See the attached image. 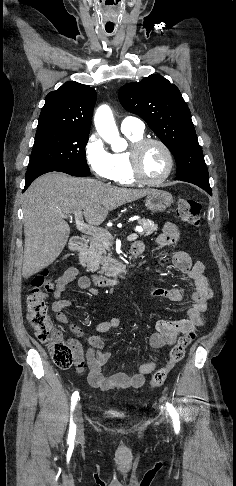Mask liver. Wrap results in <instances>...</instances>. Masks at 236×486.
Wrapping results in <instances>:
<instances>
[{
	"mask_svg": "<svg viewBox=\"0 0 236 486\" xmlns=\"http://www.w3.org/2000/svg\"><path fill=\"white\" fill-rule=\"evenodd\" d=\"M153 189L111 186L91 178L52 172L36 179L23 197L24 257L22 276L27 279L52 264L70 234L62 214L83 211L88 224L98 226L108 211L136 201Z\"/></svg>",
	"mask_w": 236,
	"mask_h": 486,
	"instance_id": "1",
	"label": "liver"
}]
</instances>
